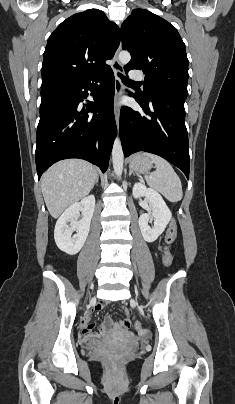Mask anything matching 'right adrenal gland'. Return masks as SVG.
<instances>
[{"instance_id":"right-adrenal-gland-1","label":"right adrenal gland","mask_w":235,"mask_h":404,"mask_svg":"<svg viewBox=\"0 0 235 404\" xmlns=\"http://www.w3.org/2000/svg\"><path fill=\"white\" fill-rule=\"evenodd\" d=\"M99 181V176L97 175L96 180H95V184H98Z\"/></svg>"}]
</instances>
